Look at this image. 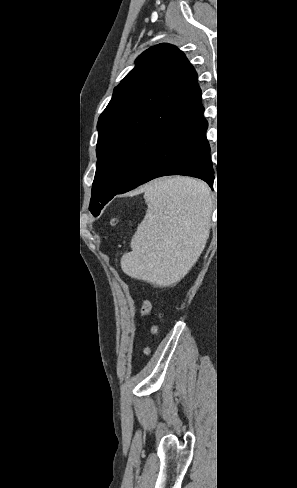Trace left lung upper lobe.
Instances as JSON below:
<instances>
[{
  "mask_svg": "<svg viewBox=\"0 0 297 488\" xmlns=\"http://www.w3.org/2000/svg\"><path fill=\"white\" fill-rule=\"evenodd\" d=\"M135 63L98 120L94 216L162 143L204 111L197 73L177 47L153 46Z\"/></svg>",
  "mask_w": 297,
  "mask_h": 488,
  "instance_id": "obj_1",
  "label": "left lung upper lobe"
}]
</instances>
